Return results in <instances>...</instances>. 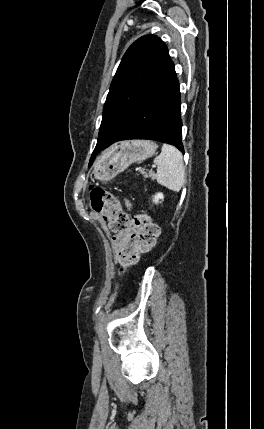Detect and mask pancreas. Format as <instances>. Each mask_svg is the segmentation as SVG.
Masks as SVG:
<instances>
[{"instance_id":"pancreas-1","label":"pancreas","mask_w":264,"mask_h":429,"mask_svg":"<svg viewBox=\"0 0 264 429\" xmlns=\"http://www.w3.org/2000/svg\"><path fill=\"white\" fill-rule=\"evenodd\" d=\"M140 172H141V174L144 176V177H151L152 179H154V176H155V174H154V172H152V171H149L148 173L145 171V169H141L140 170Z\"/></svg>"}]
</instances>
